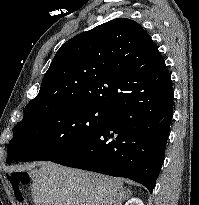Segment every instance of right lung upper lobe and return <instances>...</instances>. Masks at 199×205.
Segmentation results:
<instances>
[{
	"label": "right lung upper lobe",
	"mask_w": 199,
	"mask_h": 205,
	"mask_svg": "<svg viewBox=\"0 0 199 205\" xmlns=\"http://www.w3.org/2000/svg\"><path fill=\"white\" fill-rule=\"evenodd\" d=\"M164 73L165 61L142 26L117 18L66 41L26 107L72 103L110 110L154 88Z\"/></svg>",
	"instance_id": "obj_1"
}]
</instances>
